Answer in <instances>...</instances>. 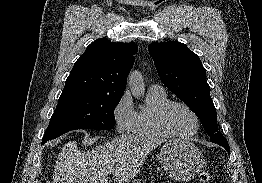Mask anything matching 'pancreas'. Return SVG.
Returning a JSON list of instances; mask_svg holds the SVG:
<instances>
[{
  "mask_svg": "<svg viewBox=\"0 0 262 183\" xmlns=\"http://www.w3.org/2000/svg\"><path fill=\"white\" fill-rule=\"evenodd\" d=\"M134 183H140V182H134ZM151 183H153V182H151Z\"/></svg>",
  "mask_w": 262,
  "mask_h": 183,
  "instance_id": "obj_1",
  "label": "pancreas"
}]
</instances>
